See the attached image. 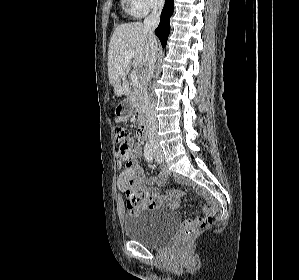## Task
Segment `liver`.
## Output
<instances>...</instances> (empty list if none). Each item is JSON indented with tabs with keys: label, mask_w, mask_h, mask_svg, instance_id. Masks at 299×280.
Masks as SVG:
<instances>
[{
	"label": "liver",
	"mask_w": 299,
	"mask_h": 280,
	"mask_svg": "<svg viewBox=\"0 0 299 280\" xmlns=\"http://www.w3.org/2000/svg\"><path fill=\"white\" fill-rule=\"evenodd\" d=\"M128 51L134 52L132 61H125ZM149 52L150 43L142 23H126L115 28L109 43L108 75L116 96L129 94L126 76L130 67H148Z\"/></svg>",
	"instance_id": "obj_1"
}]
</instances>
